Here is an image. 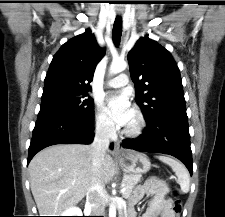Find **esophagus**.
Returning a JSON list of instances; mask_svg holds the SVG:
<instances>
[{
	"label": "esophagus",
	"mask_w": 225,
	"mask_h": 217,
	"mask_svg": "<svg viewBox=\"0 0 225 217\" xmlns=\"http://www.w3.org/2000/svg\"><path fill=\"white\" fill-rule=\"evenodd\" d=\"M122 152H123L122 145H121L120 141H117L115 144V154L120 155V154H122Z\"/></svg>",
	"instance_id": "1"
}]
</instances>
